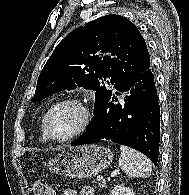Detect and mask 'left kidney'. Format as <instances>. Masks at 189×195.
<instances>
[{
    "label": "left kidney",
    "instance_id": "left-kidney-1",
    "mask_svg": "<svg viewBox=\"0 0 189 195\" xmlns=\"http://www.w3.org/2000/svg\"><path fill=\"white\" fill-rule=\"evenodd\" d=\"M110 195H135V193L131 188L117 186L111 191Z\"/></svg>",
    "mask_w": 189,
    "mask_h": 195
}]
</instances>
